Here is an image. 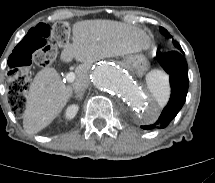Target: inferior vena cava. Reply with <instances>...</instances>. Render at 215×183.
Masks as SVG:
<instances>
[{
    "label": "inferior vena cava",
    "mask_w": 215,
    "mask_h": 183,
    "mask_svg": "<svg viewBox=\"0 0 215 183\" xmlns=\"http://www.w3.org/2000/svg\"><path fill=\"white\" fill-rule=\"evenodd\" d=\"M90 84L88 77H83L73 83V89L78 94L85 91Z\"/></svg>",
    "instance_id": "inferior-vena-cava-1"
}]
</instances>
